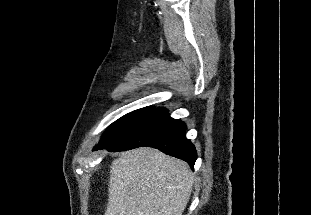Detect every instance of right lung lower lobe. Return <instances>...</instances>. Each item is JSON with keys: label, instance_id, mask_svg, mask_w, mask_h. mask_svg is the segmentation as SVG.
Here are the masks:
<instances>
[{"label": "right lung lower lobe", "instance_id": "obj_1", "mask_svg": "<svg viewBox=\"0 0 311 215\" xmlns=\"http://www.w3.org/2000/svg\"><path fill=\"white\" fill-rule=\"evenodd\" d=\"M185 130V123L171 118L164 108H157L122 139L103 149L114 152L141 146L153 147L186 161L193 168L197 153L194 145L186 138Z\"/></svg>", "mask_w": 311, "mask_h": 215}]
</instances>
